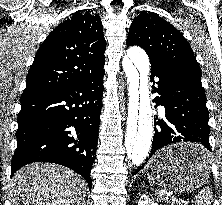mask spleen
I'll use <instances>...</instances> for the list:
<instances>
[{
  "mask_svg": "<svg viewBox=\"0 0 222 205\" xmlns=\"http://www.w3.org/2000/svg\"><path fill=\"white\" fill-rule=\"evenodd\" d=\"M159 199L163 200V194L159 192ZM212 200L211 191L209 188L203 189L201 192H199L197 204L198 205H209Z\"/></svg>",
  "mask_w": 222,
  "mask_h": 205,
  "instance_id": "1",
  "label": "spleen"
}]
</instances>
